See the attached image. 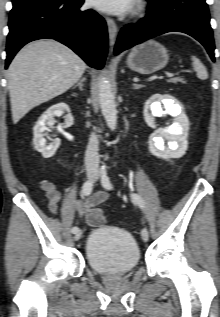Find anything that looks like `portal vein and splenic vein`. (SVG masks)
<instances>
[{
    "mask_svg": "<svg viewBox=\"0 0 220 317\" xmlns=\"http://www.w3.org/2000/svg\"><path fill=\"white\" fill-rule=\"evenodd\" d=\"M166 76L171 78L173 76V74L172 73H166Z\"/></svg>",
    "mask_w": 220,
    "mask_h": 317,
    "instance_id": "portal-vein-and-splenic-vein-1",
    "label": "portal vein and splenic vein"
}]
</instances>
